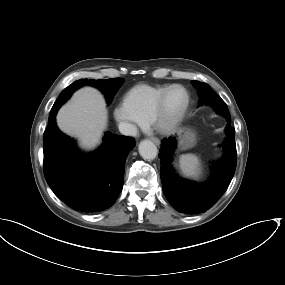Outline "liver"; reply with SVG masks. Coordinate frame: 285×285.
Instances as JSON below:
<instances>
[{
  "label": "liver",
  "instance_id": "obj_1",
  "mask_svg": "<svg viewBox=\"0 0 285 285\" xmlns=\"http://www.w3.org/2000/svg\"><path fill=\"white\" fill-rule=\"evenodd\" d=\"M56 121L61 131L79 139L82 148L94 149L107 127L105 99L95 88H81L60 108Z\"/></svg>",
  "mask_w": 285,
  "mask_h": 285
}]
</instances>
